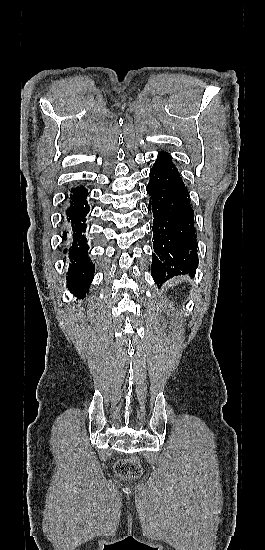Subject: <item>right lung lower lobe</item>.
<instances>
[{"label": "right lung lower lobe", "mask_w": 265, "mask_h": 550, "mask_svg": "<svg viewBox=\"0 0 265 550\" xmlns=\"http://www.w3.org/2000/svg\"><path fill=\"white\" fill-rule=\"evenodd\" d=\"M87 195L86 188H74L70 193V204L66 210L67 221L70 224L69 237L71 238L67 250L71 260L67 278L68 288L71 293L81 298L86 295L94 275V265L90 263L85 254V250L88 249L87 239L82 235L85 230V217L89 212ZM64 235L66 237V232Z\"/></svg>", "instance_id": "98d812e1"}]
</instances>
